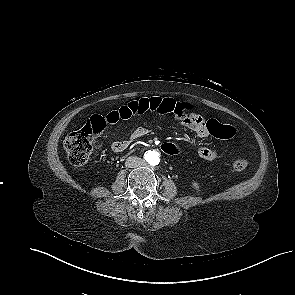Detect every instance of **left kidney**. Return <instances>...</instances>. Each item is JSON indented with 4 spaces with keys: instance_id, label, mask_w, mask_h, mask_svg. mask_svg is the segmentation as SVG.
<instances>
[{
    "instance_id": "left-kidney-1",
    "label": "left kidney",
    "mask_w": 295,
    "mask_h": 295,
    "mask_svg": "<svg viewBox=\"0 0 295 295\" xmlns=\"http://www.w3.org/2000/svg\"><path fill=\"white\" fill-rule=\"evenodd\" d=\"M192 186H193L196 190L199 189V185H198L197 182H193V183H192Z\"/></svg>"
}]
</instances>
